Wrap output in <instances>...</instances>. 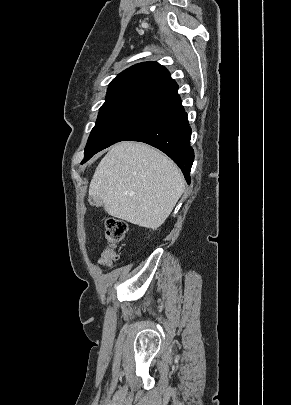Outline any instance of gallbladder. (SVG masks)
I'll return each instance as SVG.
<instances>
[{"label":"gallbladder","instance_id":"obj_1","mask_svg":"<svg viewBox=\"0 0 291 405\" xmlns=\"http://www.w3.org/2000/svg\"><path fill=\"white\" fill-rule=\"evenodd\" d=\"M89 201L91 204L95 205L96 207H99L102 205L101 202H99V201H93L92 199H90Z\"/></svg>","mask_w":291,"mask_h":405}]
</instances>
